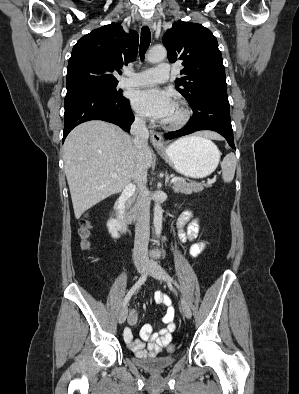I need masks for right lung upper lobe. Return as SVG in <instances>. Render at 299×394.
Masks as SVG:
<instances>
[{"mask_svg":"<svg viewBox=\"0 0 299 394\" xmlns=\"http://www.w3.org/2000/svg\"><path fill=\"white\" fill-rule=\"evenodd\" d=\"M139 36L111 23L83 36L73 47L67 68V89L89 83L118 82L112 74L134 61Z\"/></svg>","mask_w":299,"mask_h":394,"instance_id":"obj_1","label":"right lung upper lobe"}]
</instances>
